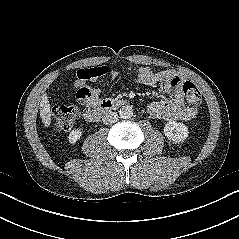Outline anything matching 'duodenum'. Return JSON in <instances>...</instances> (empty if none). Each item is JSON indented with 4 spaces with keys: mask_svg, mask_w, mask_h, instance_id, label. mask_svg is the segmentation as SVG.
Returning <instances> with one entry per match:
<instances>
[{
    "mask_svg": "<svg viewBox=\"0 0 239 239\" xmlns=\"http://www.w3.org/2000/svg\"><path fill=\"white\" fill-rule=\"evenodd\" d=\"M123 105V101L119 99H105L97 106L84 112V118L90 123L98 122L108 112L117 109Z\"/></svg>",
    "mask_w": 239,
    "mask_h": 239,
    "instance_id": "1",
    "label": "duodenum"
}]
</instances>
